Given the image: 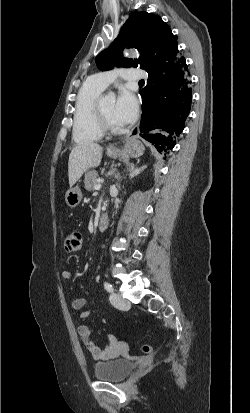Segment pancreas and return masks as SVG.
I'll list each match as a JSON object with an SVG mask.
<instances>
[{
	"label": "pancreas",
	"instance_id": "pancreas-1",
	"mask_svg": "<svg viewBox=\"0 0 250 413\" xmlns=\"http://www.w3.org/2000/svg\"><path fill=\"white\" fill-rule=\"evenodd\" d=\"M85 189L87 191L94 190V186L99 183V175L95 170H89L84 176Z\"/></svg>",
	"mask_w": 250,
	"mask_h": 413
}]
</instances>
